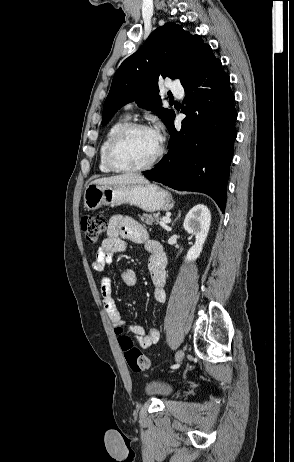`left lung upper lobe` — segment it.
Wrapping results in <instances>:
<instances>
[{
	"label": "left lung upper lobe",
	"instance_id": "left-lung-upper-lobe-1",
	"mask_svg": "<svg viewBox=\"0 0 294 462\" xmlns=\"http://www.w3.org/2000/svg\"><path fill=\"white\" fill-rule=\"evenodd\" d=\"M213 59L210 46L180 25L168 22L157 28L116 71L103 106L102 125L123 105L136 100L140 107L158 113L168 127L175 113L161 107L159 78H178L183 85Z\"/></svg>",
	"mask_w": 294,
	"mask_h": 462
}]
</instances>
